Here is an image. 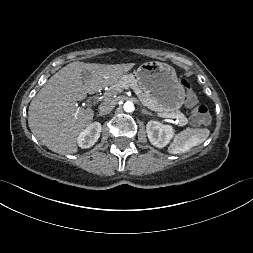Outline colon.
Wrapping results in <instances>:
<instances>
[{
	"label": "colon",
	"instance_id": "obj_1",
	"mask_svg": "<svg viewBox=\"0 0 253 253\" xmlns=\"http://www.w3.org/2000/svg\"><path fill=\"white\" fill-rule=\"evenodd\" d=\"M181 86L185 90L187 102L190 105L195 106L191 115V123L193 125L209 124L211 121L209 110L204 105H197V95L196 92L191 88L190 83L187 80L182 79Z\"/></svg>",
	"mask_w": 253,
	"mask_h": 253
}]
</instances>
